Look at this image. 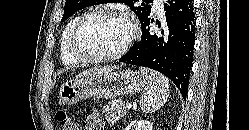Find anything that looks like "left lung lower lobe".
<instances>
[{"instance_id": "left-lung-lower-lobe-1", "label": "left lung lower lobe", "mask_w": 249, "mask_h": 130, "mask_svg": "<svg viewBox=\"0 0 249 130\" xmlns=\"http://www.w3.org/2000/svg\"><path fill=\"white\" fill-rule=\"evenodd\" d=\"M165 25L150 31L149 17L141 23L142 37L120 59L127 64L157 70L171 79L186 98L192 67L195 40V16L191 0H167L164 3Z\"/></svg>"}]
</instances>
